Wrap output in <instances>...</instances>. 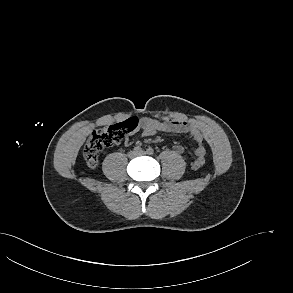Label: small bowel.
<instances>
[{
  "mask_svg": "<svg viewBox=\"0 0 293 293\" xmlns=\"http://www.w3.org/2000/svg\"><path fill=\"white\" fill-rule=\"evenodd\" d=\"M139 128L142 136H153L160 132L168 134H187L197 143L195 150L197 159L204 158L205 147L203 145V135L199 129L190 122L161 121L150 117H142L139 120ZM132 141L133 139L130 135L125 138L126 145H130ZM175 150L177 152H182L183 148L181 145H176Z\"/></svg>",
  "mask_w": 293,
  "mask_h": 293,
  "instance_id": "small-bowel-1",
  "label": "small bowel"
}]
</instances>
